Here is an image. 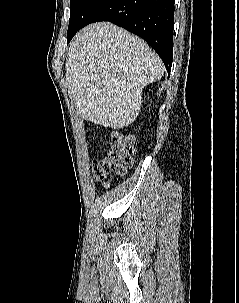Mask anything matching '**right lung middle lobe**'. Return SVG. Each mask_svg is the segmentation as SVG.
Wrapping results in <instances>:
<instances>
[{"label":"right lung middle lobe","instance_id":"1","mask_svg":"<svg viewBox=\"0 0 239 303\" xmlns=\"http://www.w3.org/2000/svg\"><path fill=\"white\" fill-rule=\"evenodd\" d=\"M105 0H71L70 3V22L67 32L69 42L78 30L85 26L89 16Z\"/></svg>","mask_w":239,"mask_h":303}]
</instances>
